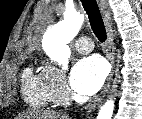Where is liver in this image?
<instances>
[{
	"instance_id": "obj_1",
	"label": "liver",
	"mask_w": 142,
	"mask_h": 119,
	"mask_svg": "<svg viewBox=\"0 0 142 119\" xmlns=\"http://www.w3.org/2000/svg\"><path fill=\"white\" fill-rule=\"evenodd\" d=\"M19 119H70L69 116L56 114L51 111L31 110L25 112L18 117Z\"/></svg>"
}]
</instances>
